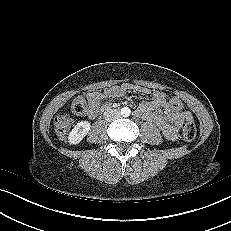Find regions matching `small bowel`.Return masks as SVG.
Wrapping results in <instances>:
<instances>
[{"label": "small bowel", "mask_w": 231, "mask_h": 231, "mask_svg": "<svg viewBox=\"0 0 231 231\" xmlns=\"http://www.w3.org/2000/svg\"><path fill=\"white\" fill-rule=\"evenodd\" d=\"M128 91H135L146 97L138 106L136 115L157 125L167 139H177L182 122L193 120L190 112L174 109L165 93L159 91L151 92L146 88L127 83L113 86L103 91L88 93L86 96L88 116L91 118L96 117L102 110L108 107L107 104H103V101L121 97Z\"/></svg>", "instance_id": "1"}]
</instances>
